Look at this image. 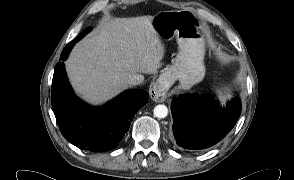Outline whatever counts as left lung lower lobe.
I'll use <instances>...</instances> for the list:
<instances>
[{
  "instance_id": "left-lung-lower-lobe-1",
  "label": "left lung lower lobe",
  "mask_w": 294,
  "mask_h": 180,
  "mask_svg": "<svg viewBox=\"0 0 294 180\" xmlns=\"http://www.w3.org/2000/svg\"><path fill=\"white\" fill-rule=\"evenodd\" d=\"M173 135L178 146L202 150L223 139L236 124L240 102L220 109L218 103L199 96L182 95L172 102Z\"/></svg>"
}]
</instances>
